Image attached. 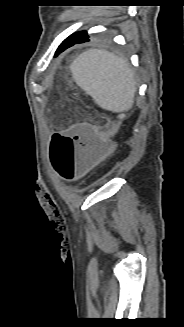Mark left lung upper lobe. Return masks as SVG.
Returning <instances> with one entry per match:
<instances>
[{"mask_svg":"<svg viewBox=\"0 0 184 327\" xmlns=\"http://www.w3.org/2000/svg\"><path fill=\"white\" fill-rule=\"evenodd\" d=\"M78 35L84 36V35H87V32L86 31H81V32L78 33Z\"/></svg>","mask_w":184,"mask_h":327,"instance_id":"obj_1","label":"left lung upper lobe"}]
</instances>
